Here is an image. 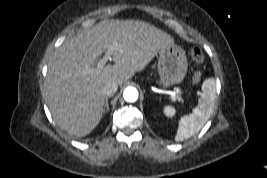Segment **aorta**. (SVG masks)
<instances>
[{"label": "aorta", "mask_w": 267, "mask_h": 178, "mask_svg": "<svg viewBox=\"0 0 267 178\" xmlns=\"http://www.w3.org/2000/svg\"><path fill=\"white\" fill-rule=\"evenodd\" d=\"M138 95V90L134 87H127L123 92V97L127 102H135Z\"/></svg>", "instance_id": "762f6f07"}]
</instances>
